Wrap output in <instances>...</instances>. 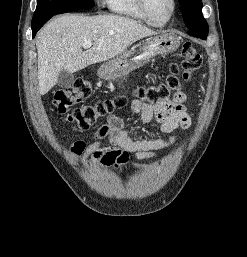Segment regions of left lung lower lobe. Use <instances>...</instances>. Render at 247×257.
Here are the masks:
<instances>
[{"label":"left lung lower lobe","mask_w":247,"mask_h":257,"mask_svg":"<svg viewBox=\"0 0 247 257\" xmlns=\"http://www.w3.org/2000/svg\"><path fill=\"white\" fill-rule=\"evenodd\" d=\"M187 33L191 36L198 37L201 39H206V37H207V34H203V33H199V32L189 31Z\"/></svg>","instance_id":"1"}]
</instances>
